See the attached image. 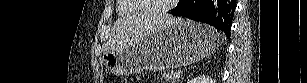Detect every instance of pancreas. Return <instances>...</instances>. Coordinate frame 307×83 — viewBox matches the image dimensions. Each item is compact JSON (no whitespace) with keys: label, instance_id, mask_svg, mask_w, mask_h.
I'll use <instances>...</instances> for the list:
<instances>
[{"label":"pancreas","instance_id":"pancreas-1","mask_svg":"<svg viewBox=\"0 0 307 83\" xmlns=\"http://www.w3.org/2000/svg\"><path fill=\"white\" fill-rule=\"evenodd\" d=\"M175 73L174 72H164L162 77L164 80H166L167 82H171V83H175V77H174Z\"/></svg>","mask_w":307,"mask_h":83}]
</instances>
